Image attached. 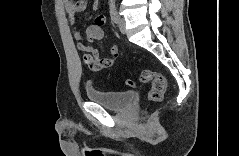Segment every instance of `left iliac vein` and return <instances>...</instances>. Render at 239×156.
Instances as JSON below:
<instances>
[{
	"mask_svg": "<svg viewBox=\"0 0 239 156\" xmlns=\"http://www.w3.org/2000/svg\"><path fill=\"white\" fill-rule=\"evenodd\" d=\"M125 25H126L125 19L124 18H119L118 26H119V29H120L121 33H123V34L126 33Z\"/></svg>",
	"mask_w": 239,
	"mask_h": 156,
	"instance_id": "left-iliac-vein-1",
	"label": "left iliac vein"
}]
</instances>
